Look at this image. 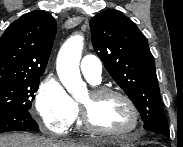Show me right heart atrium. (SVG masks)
<instances>
[{
  "mask_svg": "<svg viewBox=\"0 0 183 147\" xmlns=\"http://www.w3.org/2000/svg\"><path fill=\"white\" fill-rule=\"evenodd\" d=\"M35 107L43 128L56 134L66 133L77 117L76 102L52 75L41 81Z\"/></svg>",
  "mask_w": 183,
  "mask_h": 147,
  "instance_id": "d8ad5b80",
  "label": "right heart atrium"
}]
</instances>
